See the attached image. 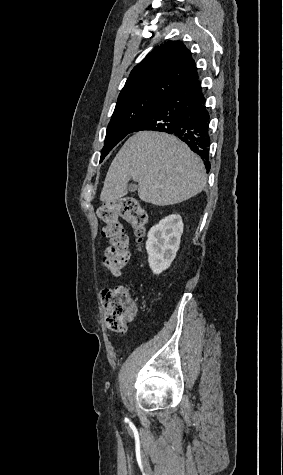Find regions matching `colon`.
Wrapping results in <instances>:
<instances>
[{"label": "colon", "mask_w": 283, "mask_h": 475, "mask_svg": "<svg viewBox=\"0 0 283 475\" xmlns=\"http://www.w3.org/2000/svg\"><path fill=\"white\" fill-rule=\"evenodd\" d=\"M98 216L104 223L103 233L108 240L103 254L104 263L113 276H120L130 258L122 219L130 223L138 237H143L148 226L147 212L137 199L128 197L104 204ZM99 297L105 306L106 325L113 332H126L136 312L130 288L124 284L115 285L101 290Z\"/></svg>", "instance_id": "colon-1"}]
</instances>
